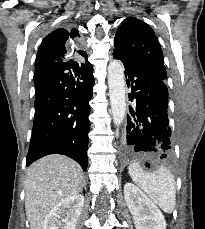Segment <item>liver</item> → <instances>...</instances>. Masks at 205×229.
Listing matches in <instances>:
<instances>
[{
  "label": "liver",
  "instance_id": "obj_1",
  "mask_svg": "<svg viewBox=\"0 0 205 229\" xmlns=\"http://www.w3.org/2000/svg\"><path fill=\"white\" fill-rule=\"evenodd\" d=\"M83 171L74 160L59 154L35 161L27 170L25 211L30 229H42L46 216L61 200L81 191Z\"/></svg>",
  "mask_w": 205,
  "mask_h": 229
}]
</instances>
